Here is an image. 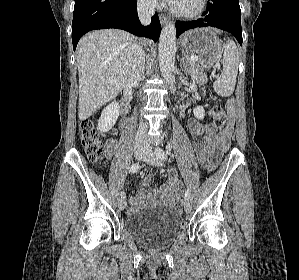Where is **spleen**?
Masks as SVG:
<instances>
[{"label": "spleen", "mask_w": 299, "mask_h": 280, "mask_svg": "<svg viewBox=\"0 0 299 280\" xmlns=\"http://www.w3.org/2000/svg\"><path fill=\"white\" fill-rule=\"evenodd\" d=\"M223 70L221 76L214 82V91L222 96L228 97L233 94L238 73L239 52L236 44L228 40L223 50Z\"/></svg>", "instance_id": "obj_1"}]
</instances>
